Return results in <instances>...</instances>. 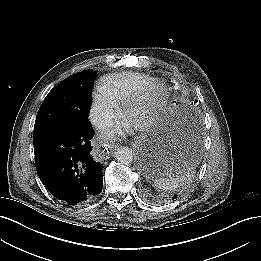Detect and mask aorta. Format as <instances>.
<instances>
[{"label":"aorta","instance_id":"obj_1","mask_svg":"<svg viewBox=\"0 0 261 261\" xmlns=\"http://www.w3.org/2000/svg\"><path fill=\"white\" fill-rule=\"evenodd\" d=\"M115 157H116V160L118 162H121V163H124V164H129L132 161L133 153L127 147H119L117 149Z\"/></svg>","mask_w":261,"mask_h":261}]
</instances>
